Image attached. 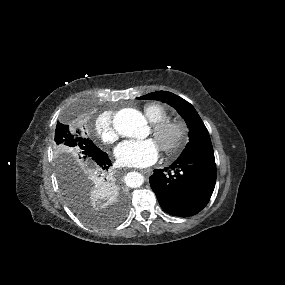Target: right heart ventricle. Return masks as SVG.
<instances>
[{
	"label": "right heart ventricle",
	"mask_w": 285,
	"mask_h": 285,
	"mask_svg": "<svg viewBox=\"0 0 285 285\" xmlns=\"http://www.w3.org/2000/svg\"><path fill=\"white\" fill-rule=\"evenodd\" d=\"M145 116L151 123H157L167 119V109L159 103H148L143 107Z\"/></svg>",
	"instance_id": "e07e8e85"
}]
</instances>
